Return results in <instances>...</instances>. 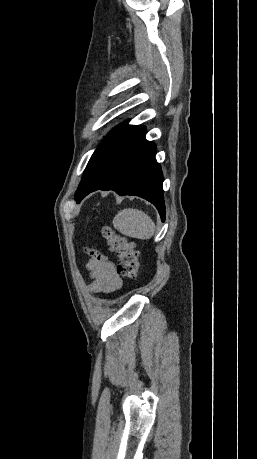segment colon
<instances>
[{
    "label": "colon",
    "instance_id": "colon-1",
    "mask_svg": "<svg viewBox=\"0 0 257 459\" xmlns=\"http://www.w3.org/2000/svg\"><path fill=\"white\" fill-rule=\"evenodd\" d=\"M103 236L108 241L110 249L119 257L118 274L127 280L136 279L140 269L139 251L136 243L115 233L109 227L103 229Z\"/></svg>",
    "mask_w": 257,
    "mask_h": 459
}]
</instances>
